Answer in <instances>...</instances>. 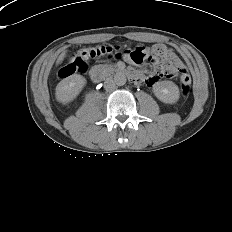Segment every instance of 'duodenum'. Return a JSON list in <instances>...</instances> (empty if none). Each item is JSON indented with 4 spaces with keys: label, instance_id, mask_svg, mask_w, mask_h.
<instances>
[{
    "label": "duodenum",
    "instance_id": "duodenum-1",
    "mask_svg": "<svg viewBox=\"0 0 232 232\" xmlns=\"http://www.w3.org/2000/svg\"><path fill=\"white\" fill-rule=\"evenodd\" d=\"M118 74L119 75H125L129 79H131L132 81H135V82L138 81V76L136 74H131L130 72L126 71L125 69L120 68L118 70ZM90 78L95 83L101 82V80L103 78V70H102V68L99 67V66L93 67L91 69V71H90Z\"/></svg>",
    "mask_w": 232,
    "mask_h": 232
}]
</instances>
